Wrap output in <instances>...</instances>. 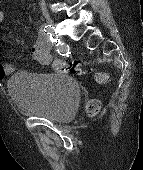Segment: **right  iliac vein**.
Returning a JSON list of instances; mask_svg holds the SVG:
<instances>
[{
  "label": "right iliac vein",
  "instance_id": "obj_1",
  "mask_svg": "<svg viewBox=\"0 0 143 170\" xmlns=\"http://www.w3.org/2000/svg\"><path fill=\"white\" fill-rule=\"evenodd\" d=\"M45 19H46V22L50 25H54V21L53 19L50 17V15L47 13V12H44L43 13Z\"/></svg>",
  "mask_w": 143,
  "mask_h": 170
}]
</instances>
